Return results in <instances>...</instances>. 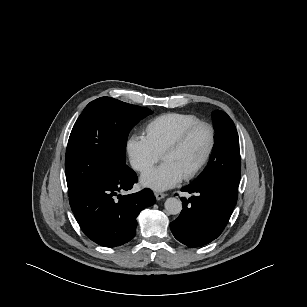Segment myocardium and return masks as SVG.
<instances>
[{
  "instance_id": "obj_1",
  "label": "myocardium",
  "mask_w": 307,
  "mask_h": 307,
  "mask_svg": "<svg viewBox=\"0 0 307 307\" xmlns=\"http://www.w3.org/2000/svg\"><path fill=\"white\" fill-rule=\"evenodd\" d=\"M205 128L208 131L209 134V144L207 147V150L203 156V158L201 159V161L197 164V166L191 170L188 174H186L183 178L185 180H191L193 178H195L203 169L204 167L207 165L209 159L211 158V155L214 151L215 148V143H216V133H215V129L214 127L208 123V122H204V121H199L196 123H193L191 125H189L188 127H186L168 146L167 148L164 150V152L162 153V159H164V157L169 154L172 153L176 150H178L184 143L185 141L189 138V136L198 128Z\"/></svg>"
}]
</instances>
